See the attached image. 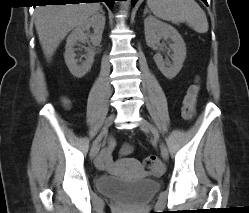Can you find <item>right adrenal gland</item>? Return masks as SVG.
<instances>
[{
	"label": "right adrenal gland",
	"instance_id": "2a0ac1e0",
	"mask_svg": "<svg viewBox=\"0 0 249 213\" xmlns=\"http://www.w3.org/2000/svg\"><path fill=\"white\" fill-rule=\"evenodd\" d=\"M100 12L104 15L105 13H104V11L102 10V8H100Z\"/></svg>",
	"mask_w": 249,
	"mask_h": 213
}]
</instances>
